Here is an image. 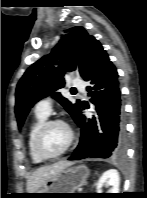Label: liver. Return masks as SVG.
Wrapping results in <instances>:
<instances>
[{
  "label": "liver",
  "instance_id": "1",
  "mask_svg": "<svg viewBox=\"0 0 147 198\" xmlns=\"http://www.w3.org/2000/svg\"><path fill=\"white\" fill-rule=\"evenodd\" d=\"M72 165L69 161H59L53 165L40 167L35 170L27 180L26 190L34 193L40 189L47 181L55 177L59 172Z\"/></svg>",
  "mask_w": 147,
  "mask_h": 198
}]
</instances>
